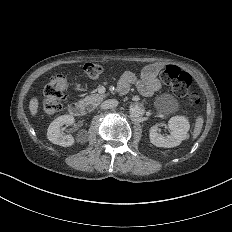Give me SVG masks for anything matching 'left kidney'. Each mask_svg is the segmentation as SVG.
I'll use <instances>...</instances> for the list:
<instances>
[{"instance_id":"1","label":"left kidney","mask_w":232,"mask_h":232,"mask_svg":"<svg viewBox=\"0 0 232 232\" xmlns=\"http://www.w3.org/2000/svg\"><path fill=\"white\" fill-rule=\"evenodd\" d=\"M170 135L163 136L158 133V126L150 128V142L157 147L172 148L181 144L188 137L190 124L184 116H174L168 121Z\"/></svg>"}]
</instances>
